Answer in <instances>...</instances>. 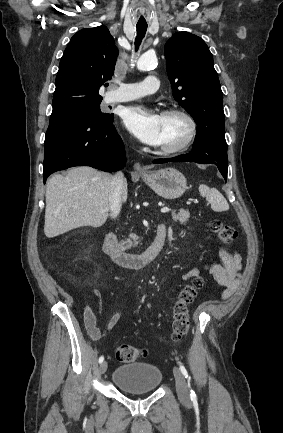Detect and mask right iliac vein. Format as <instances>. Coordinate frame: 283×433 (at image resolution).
Segmentation results:
<instances>
[{
  "instance_id": "obj_1",
  "label": "right iliac vein",
  "mask_w": 283,
  "mask_h": 433,
  "mask_svg": "<svg viewBox=\"0 0 283 433\" xmlns=\"http://www.w3.org/2000/svg\"><path fill=\"white\" fill-rule=\"evenodd\" d=\"M106 370H107V362H106V361H103V362L100 364V372H101V374H104V373L106 372Z\"/></svg>"
}]
</instances>
